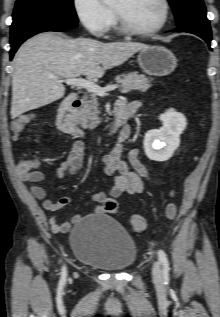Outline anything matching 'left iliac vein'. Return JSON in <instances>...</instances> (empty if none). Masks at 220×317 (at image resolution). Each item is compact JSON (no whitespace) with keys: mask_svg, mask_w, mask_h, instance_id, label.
I'll use <instances>...</instances> for the list:
<instances>
[{"mask_svg":"<svg viewBox=\"0 0 220 317\" xmlns=\"http://www.w3.org/2000/svg\"><path fill=\"white\" fill-rule=\"evenodd\" d=\"M152 276L155 282L162 281V271L158 262H154L152 267Z\"/></svg>","mask_w":220,"mask_h":317,"instance_id":"4c4485c4","label":"left iliac vein"}]
</instances>
